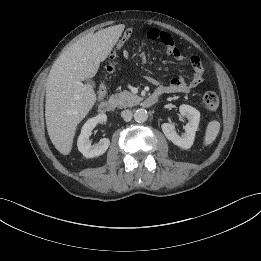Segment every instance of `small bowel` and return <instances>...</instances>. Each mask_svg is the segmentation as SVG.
<instances>
[{"mask_svg": "<svg viewBox=\"0 0 261 261\" xmlns=\"http://www.w3.org/2000/svg\"><path fill=\"white\" fill-rule=\"evenodd\" d=\"M146 37L151 41H158L164 45L168 55L174 57L176 60H189L193 65V75L191 80L187 81L181 76H173L168 84L161 85L155 80L150 81L157 85L156 92L160 94L164 93H188L191 89L195 88L203 77V68L199 57L191 56L188 57L182 53L175 45L173 38L167 32L156 28L150 27L146 31ZM105 94V90L102 88L99 91V98H102Z\"/></svg>", "mask_w": 261, "mask_h": 261, "instance_id": "obj_1", "label": "small bowel"}]
</instances>
